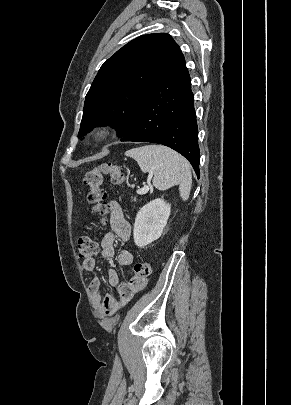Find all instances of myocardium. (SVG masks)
Returning a JSON list of instances; mask_svg holds the SVG:
<instances>
[{"mask_svg":"<svg viewBox=\"0 0 291 405\" xmlns=\"http://www.w3.org/2000/svg\"><path fill=\"white\" fill-rule=\"evenodd\" d=\"M112 134V128L109 125H101L97 127L92 134V138L97 143L106 141Z\"/></svg>","mask_w":291,"mask_h":405,"instance_id":"myocardium-1","label":"myocardium"}]
</instances>
